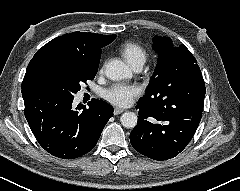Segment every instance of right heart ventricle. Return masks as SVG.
Segmentation results:
<instances>
[{
	"mask_svg": "<svg viewBox=\"0 0 240 191\" xmlns=\"http://www.w3.org/2000/svg\"><path fill=\"white\" fill-rule=\"evenodd\" d=\"M120 53L124 59L132 65L135 62L146 60V50L139 44L127 42L120 47Z\"/></svg>",
	"mask_w": 240,
	"mask_h": 191,
	"instance_id": "right-heart-ventricle-1",
	"label": "right heart ventricle"
}]
</instances>
